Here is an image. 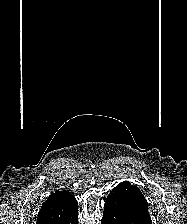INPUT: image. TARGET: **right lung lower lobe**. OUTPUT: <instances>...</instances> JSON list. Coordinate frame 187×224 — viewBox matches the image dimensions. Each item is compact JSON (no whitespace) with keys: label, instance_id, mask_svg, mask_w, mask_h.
<instances>
[{"label":"right lung lower lobe","instance_id":"obj_1","mask_svg":"<svg viewBox=\"0 0 187 224\" xmlns=\"http://www.w3.org/2000/svg\"><path fill=\"white\" fill-rule=\"evenodd\" d=\"M61 224H78V210H76L68 220Z\"/></svg>","mask_w":187,"mask_h":224}]
</instances>
